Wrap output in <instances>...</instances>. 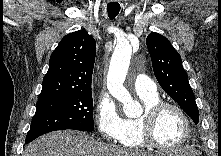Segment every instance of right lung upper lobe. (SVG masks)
<instances>
[{"label": "right lung upper lobe", "instance_id": "right-lung-upper-lobe-1", "mask_svg": "<svg viewBox=\"0 0 221 156\" xmlns=\"http://www.w3.org/2000/svg\"><path fill=\"white\" fill-rule=\"evenodd\" d=\"M96 43L85 30L66 35L53 51L39 98L91 90Z\"/></svg>", "mask_w": 221, "mask_h": 156}]
</instances>
